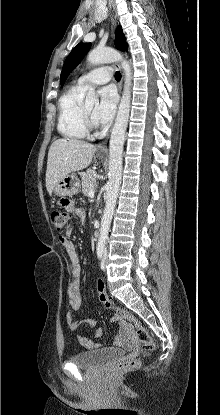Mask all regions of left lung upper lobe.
Instances as JSON below:
<instances>
[{"mask_svg":"<svg viewBox=\"0 0 220 415\" xmlns=\"http://www.w3.org/2000/svg\"><path fill=\"white\" fill-rule=\"evenodd\" d=\"M115 46L119 50H127L128 45L126 43V39L124 38V34L122 31V28L120 26L116 29V38H115ZM91 47V43H79L77 44L73 50L70 52L68 57L65 60V63L63 65V69L61 72V84L63 85L66 78L72 72L73 69L77 67V65L80 63V61L83 59V57L86 55V53L89 51Z\"/></svg>","mask_w":220,"mask_h":415,"instance_id":"5c2ea615","label":"left lung upper lobe"}]
</instances>
